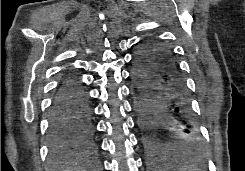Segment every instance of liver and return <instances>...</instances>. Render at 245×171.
I'll list each match as a JSON object with an SVG mask.
<instances>
[{"label": "liver", "mask_w": 245, "mask_h": 171, "mask_svg": "<svg viewBox=\"0 0 245 171\" xmlns=\"http://www.w3.org/2000/svg\"><path fill=\"white\" fill-rule=\"evenodd\" d=\"M65 171H80V170H77V169H67V170H65Z\"/></svg>", "instance_id": "liver-1"}]
</instances>
